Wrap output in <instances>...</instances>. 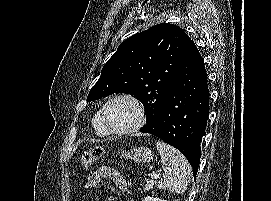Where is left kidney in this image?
Listing matches in <instances>:
<instances>
[{
    "instance_id": "left-kidney-1",
    "label": "left kidney",
    "mask_w": 271,
    "mask_h": 201,
    "mask_svg": "<svg viewBox=\"0 0 271 201\" xmlns=\"http://www.w3.org/2000/svg\"><path fill=\"white\" fill-rule=\"evenodd\" d=\"M143 201H166V200H162L160 198H154L151 196H147Z\"/></svg>"
}]
</instances>
